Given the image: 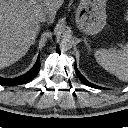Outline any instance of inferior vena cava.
Here are the masks:
<instances>
[{"label":"inferior vena cava","mask_w":128,"mask_h":128,"mask_svg":"<svg viewBox=\"0 0 128 128\" xmlns=\"http://www.w3.org/2000/svg\"><path fill=\"white\" fill-rule=\"evenodd\" d=\"M48 20V16L45 13H40L38 15V21L39 22H45Z\"/></svg>","instance_id":"602c4592"}]
</instances>
